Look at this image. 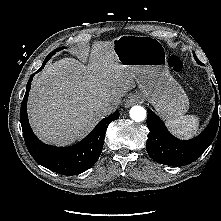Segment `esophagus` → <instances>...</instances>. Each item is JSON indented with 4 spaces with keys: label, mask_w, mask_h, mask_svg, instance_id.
<instances>
[{
    "label": "esophagus",
    "mask_w": 221,
    "mask_h": 221,
    "mask_svg": "<svg viewBox=\"0 0 221 221\" xmlns=\"http://www.w3.org/2000/svg\"><path fill=\"white\" fill-rule=\"evenodd\" d=\"M141 101H142V98L139 95L132 94L126 98L124 102V106L125 108H129L130 106L134 104L141 103Z\"/></svg>",
    "instance_id": "esophagus-1"
}]
</instances>
